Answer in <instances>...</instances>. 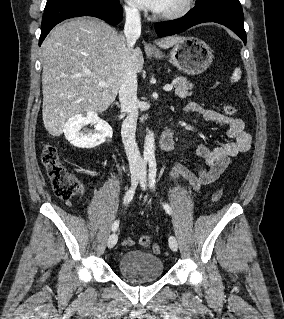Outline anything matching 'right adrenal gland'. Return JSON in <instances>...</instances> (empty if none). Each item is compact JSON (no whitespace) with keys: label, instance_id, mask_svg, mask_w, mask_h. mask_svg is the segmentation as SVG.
<instances>
[{"label":"right adrenal gland","instance_id":"1","mask_svg":"<svg viewBox=\"0 0 284 319\" xmlns=\"http://www.w3.org/2000/svg\"><path fill=\"white\" fill-rule=\"evenodd\" d=\"M115 104L119 107V103L118 102H116Z\"/></svg>","mask_w":284,"mask_h":319}]
</instances>
